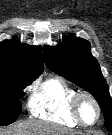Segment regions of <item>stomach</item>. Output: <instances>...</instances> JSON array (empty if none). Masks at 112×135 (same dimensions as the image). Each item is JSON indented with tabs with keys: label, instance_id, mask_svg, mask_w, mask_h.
Masks as SVG:
<instances>
[{
	"label": "stomach",
	"instance_id": "obj_1",
	"mask_svg": "<svg viewBox=\"0 0 112 135\" xmlns=\"http://www.w3.org/2000/svg\"><path fill=\"white\" fill-rule=\"evenodd\" d=\"M77 135H91V134L90 133L84 134V133L79 132Z\"/></svg>",
	"mask_w": 112,
	"mask_h": 135
}]
</instances>
